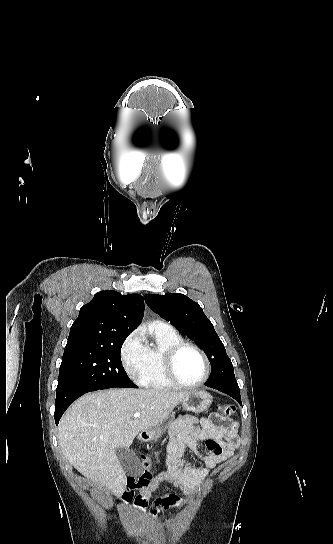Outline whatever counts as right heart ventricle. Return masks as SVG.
Returning a JSON list of instances; mask_svg holds the SVG:
<instances>
[{"label":"right heart ventricle","instance_id":"obj_1","mask_svg":"<svg viewBox=\"0 0 333 544\" xmlns=\"http://www.w3.org/2000/svg\"><path fill=\"white\" fill-rule=\"evenodd\" d=\"M151 341L143 343V356L138 382L141 386L152 389L174 387L163 371V355L172 345L183 341L181 335L171 327L152 325Z\"/></svg>","mask_w":333,"mask_h":544}]
</instances>
